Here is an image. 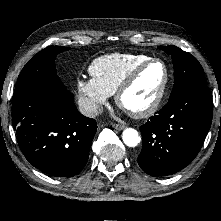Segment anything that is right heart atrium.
Instances as JSON below:
<instances>
[{
    "label": "right heart atrium",
    "mask_w": 221,
    "mask_h": 221,
    "mask_svg": "<svg viewBox=\"0 0 221 221\" xmlns=\"http://www.w3.org/2000/svg\"><path fill=\"white\" fill-rule=\"evenodd\" d=\"M80 106L84 114L96 115L108 101L109 95L92 78H79L76 82Z\"/></svg>",
    "instance_id": "1"
}]
</instances>
